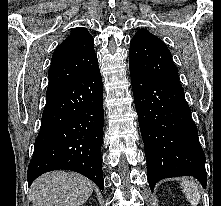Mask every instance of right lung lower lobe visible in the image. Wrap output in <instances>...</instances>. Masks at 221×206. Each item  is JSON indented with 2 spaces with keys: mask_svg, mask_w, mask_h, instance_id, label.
<instances>
[{
  "mask_svg": "<svg viewBox=\"0 0 221 206\" xmlns=\"http://www.w3.org/2000/svg\"><path fill=\"white\" fill-rule=\"evenodd\" d=\"M28 185L58 169L76 171L104 189L101 165L103 84L99 67L46 93Z\"/></svg>",
  "mask_w": 221,
  "mask_h": 206,
  "instance_id": "right-lung-lower-lobe-1",
  "label": "right lung lower lobe"
}]
</instances>
